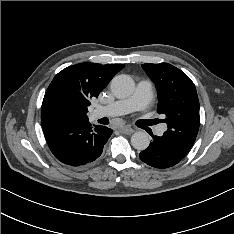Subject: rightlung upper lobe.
<instances>
[{"instance_id": "1", "label": "right lung upper lobe", "mask_w": 234, "mask_h": 234, "mask_svg": "<svg viewBox=\"0 0 234 234\" xmlns=\"http://www.w3.org/2000/svg\"><path fill=\"white\" fill-rule=\"evenodd\" d=\"M122 64L80 63L60 71L50 83L41 108V115L51 107L66 109L73 118H87V107L97 97Z\"/></svg>"}]
</instances>
